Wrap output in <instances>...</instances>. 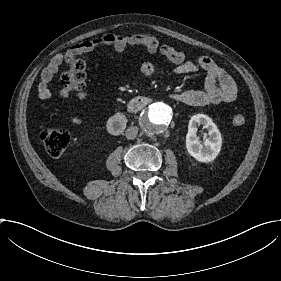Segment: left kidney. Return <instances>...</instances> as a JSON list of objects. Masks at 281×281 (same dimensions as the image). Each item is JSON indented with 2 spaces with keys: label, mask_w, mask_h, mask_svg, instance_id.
Masks as SVG:
<instances>
[{
  "label": "left kidney",
  "mask_w": 281,
  "mask_h": 281,
  "mask_svg": "<svg viewBox=\"0 0 281 281\" xmlns=\"http://www.w3.org/2000/svg\"><path fill=\"white\" fill-rule=\"evenodd\" d=\"M202 124L203 128L208 130L209 139L205 140L204 146L199 143L196 135L198 125ZM222 138L216 124L203 114L194 115L189 121V132L186 136V149L190 156L201 163L212 162L221 149Z\"/></svg>",
  "instance_id": "obj_1"
}]
</instances>
